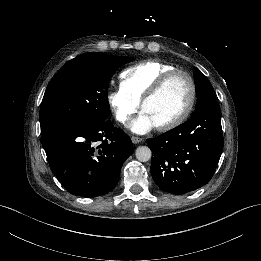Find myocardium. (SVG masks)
<instances>
[{
  "instance_id": "1",
  "label": "myocardium",
  "mask_w": 261,
  "mask_h": 261,
  "mask_svg": "<svg viewBox=\"0 0 261 261\" xmlns=\"http://www.w3.org/2000/svg\"><path fill=\"white\" fill-rule=\"evenodd\" d=\"M178 74L184 75L187 78V80L189 82V86H190V98H189V101H188L186 107L184 108V110L181 112V114L179 116H177L173 120L168 121L162 125L156 126V128L160 131H168V130L178 127L187 119V117L193 110L195 100H196V95H197L196 84L194 82V79L187 71L180 70V69L171 70V71L165 73L152 86L150 91L144 96V98L141 101L140 106H141V109L143 110L144 106L148 102H150L151 100L156 98L162 92V90L166 87V85L169 83V81Z\"/></svg>"
}]
</instances>
